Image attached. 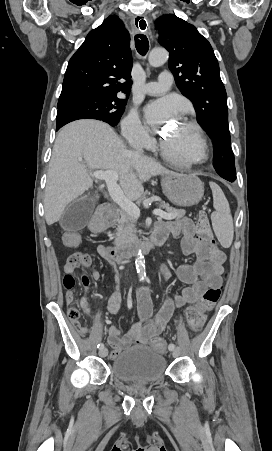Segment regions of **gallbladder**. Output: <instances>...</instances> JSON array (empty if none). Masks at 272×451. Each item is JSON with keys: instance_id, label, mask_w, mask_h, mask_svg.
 I'll use <instances>...</instances> for the list:
<instances>
[{"instance_id": "1", "label": "gallbladder", "mask_w": 272, "mask_h": 451, "mask_svg": "<svg viewBox=\"0 0 272 451\" xmlns=\"http://www.w3.org/2000/svg\"><path fill=\"white\" fill-rule=\"evenodd\" d=\"M96 200L90 196H82L77 198L72 204H69L63 212L60 220V226L64 227L66 231H77L82 227L87 226L90 218L95 210Z\"/></svg>"}]
</instances>
